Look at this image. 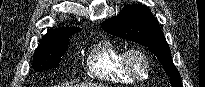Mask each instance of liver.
Wrapping results in <instances>:
<instances>
[{"instance_id":"liver-1","label":"liver","mask_w":205,"mask_h":87,"mask_svg":"<svg viewBox=\"0 0 205 87\" xmlns=\"http://www.w3.org/2000/svg\"><path fill=\"white\" fill-rule=\"evenodd\" d=\"M66 87H73L71 85H68ZM74 87H104L102 84H81V85H75Z\"/></svg>"}]
</instances>
